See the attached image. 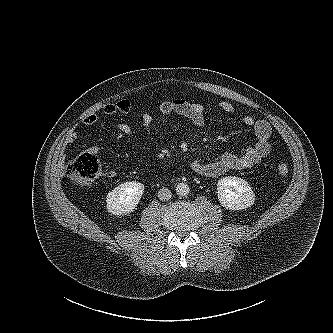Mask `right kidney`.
I'll return each mask as SVG.
<instances>
[{
  "mask_svg": "<svg viewBox=\"0 0 333 333\" xmlns=\"http://www.w3.org/2000/svg\"><path fill=\"white\" fill-rule=\"evenodd\" d=\"M144 193V185L137 181L120 184L107 194L106 207L112 215H127L134 211Z\"/></svg>",
  "mask_w": 333,
  "mask_h": 333,
  "instance_id": "right-kidney-1",
  "label": "right kidney"
}]
</instances>
